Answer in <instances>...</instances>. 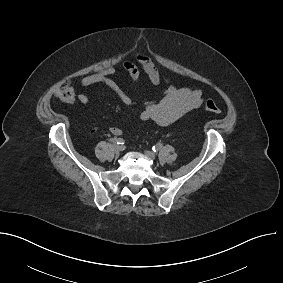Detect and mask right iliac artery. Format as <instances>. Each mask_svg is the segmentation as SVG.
<instances>
[{
	"label": "right iliac artery",
	"mask_w": 283,
	"mask_h": 283,
	"mask_svg": "<svg viewBox=\"0 0 283 283\" xmlns=\"http://www.w3.org/2000/svg\"><path fill=\"white\" fill-rule=\"evenodd\" d=\"M114 144L123 145L125 141L122 138H111L109 139Z\"/></svg>",
	"instance_id": "obj_1"
}]
</instances>
